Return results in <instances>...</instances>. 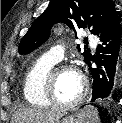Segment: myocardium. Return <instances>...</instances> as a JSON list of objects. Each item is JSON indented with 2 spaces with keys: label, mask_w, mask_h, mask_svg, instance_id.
Masks as SVG:
<instances>
[{
  "label": "myocardium",
  "mask_w": 122,
  "mask_h": 123,
  "mask_svg": "<svg viewBox=\"0 0 122 123\" xmlns=\"http://www.w3.org/2000/svg\"><path fill=\"white\" fill-rule=\"evenodd\" d=\"M67 69H73L79 72L82 78V88L76 98H74L71 101L64 102L56 97L55 84H56L57 74L60 71L67 70ZM87 91H88V80L74 65H70V64L55 65L48 72L46 83H45V96L52 105L58 107H64V108L76 106L85 98Z\"/></svg>",
  "instance_id": "1"
}]
</instances>
